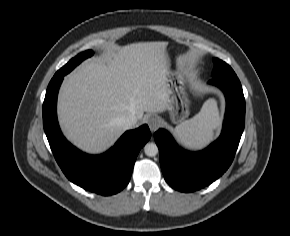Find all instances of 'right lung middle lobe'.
I'll list each match as a JSON object with an SVG mask.
<instances>
[{
	"label": "right lung middle lobe",
	"instance_id": "1",
	"mask_svg": "<svg viewBox=\"0 0 290 236\" xmlns=\"http://www.w3.org/2000/svg\"><path fill=\"white\" fill-rule=\"evenodd\" d=\"M93 55V51L88 50L85 51L76 57L72 58L65 66H63L60 70L56 72L55 75H66L68 74L71 70H73L79 63H81L84 59L90 57Z\"/></svg>",
	"mask_w": 290,
	"mask_h": 236
}]
</instances>
